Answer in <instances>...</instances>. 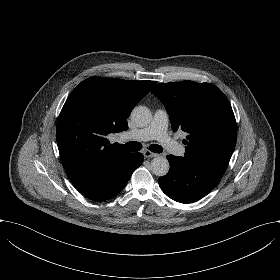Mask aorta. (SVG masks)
I'll return each instance as SVG.
<instances>
[{
    "instance_id": "obj_1",
    "label": "aorta",
    "mask_w": 280,
    "mask_h": 280,
    "mask_svg": "<svg viewBox=\"0 0 280 280\" xmlns=\"http://www.w3.org/2000/svg\"><path fill=\"white\" fill-rule=\"evenodd\" d=\"M152 114L145 106H137L131 112V120L137 127H146L151 122ZM168 160L163 156L152 159L150 170L156 176H165L169 171Z\"/></svg>"
}]
</instances>
